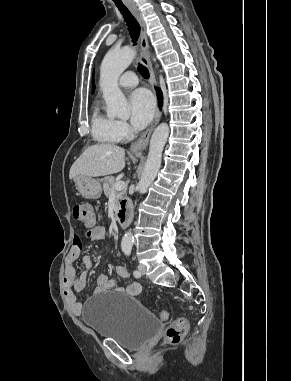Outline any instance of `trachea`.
<instances>
[{
    "label": "trachea",
    "instance_id": "trachea-1",
    "mask_svg": "<svg viewBox=\"0 0 291 381\" xmlns=\"http://www.w3.org/2000/svg\"><path fill=\"white\" fill-rule=\"evenodd\" d=\"M114 2L117 8L119 9V11L121 12V14L123 15L125 22L127 23L133 42L136 43L140 34L139 23L137 22L135 17L131 14L129 9L122 2H117L116 0H114ZM138 71L145 79L149 78V71L144 65L139 64Z\"/></svg>",
    "mask_w": 291,
    "mask_h": 381
}]
</instances>
